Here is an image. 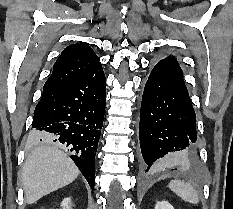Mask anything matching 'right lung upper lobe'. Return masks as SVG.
Wrapping results in <instances>:
<instances>
[{"label": "right lung upper lobe", "instance_id": "cb5924a9", "mask_svg": "<svg viewBox=\"0 0 233 209\" xmlns=\"http://www.w3.org/2000/svg\"><path fill=\"white\" fill-rule=\"evenodd\" d=\"M98 57L86 44L66 47L53 66V72L45 82L43 92L55 89L84 76L100 65Z\"/></svg>", "mask_w": 233, "mask_h": 209}]
</instances>
